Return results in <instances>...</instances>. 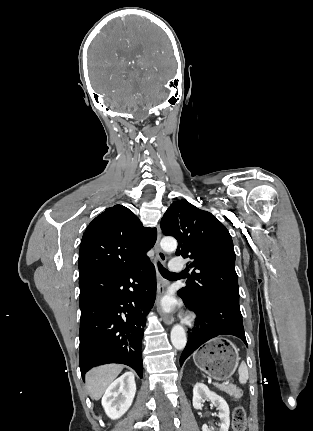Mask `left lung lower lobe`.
I'll return each instance as SVG.
<instances>
[{"label":"left lung lower lobe","mask_w":313,"mask_h":431,"mask_svg":"<svg viewBox=\"0 0 313 431\" xmlns=\"http://www.w3.org/2000/svg\"><path fill=\"white\" fill-rule=\"evenodd\" d=\"M178 295L184 300L186 307L197 315L195 328L189 330L188 342L180 357L181 366L197 348L219 335L236 336L247 345L239 303L221 299L192 303L180 291Z\"/></svg>","instance_id":"obj_1"}]
</instances>
